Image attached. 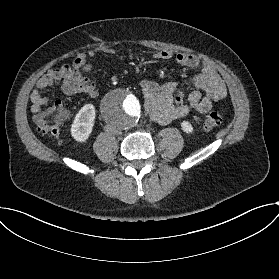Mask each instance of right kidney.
<instances>
[{
  "mask_svg": "<svg viewBox=\"0 0 279 279\" xmlns=\"http://www.w3.org/2000/svg\"><path fill=\"white\" fill-rule=\"evenodd\" d=\"M96 118V108L91 103L84 104L75 115L70 128L71 137L78 143H85L91 136Z\"/></svg>",
  "mask_w": 279,
  "mask_h": 279,
  "instance_id": "ca27d5eb",
  "label": "right kidney"
}]
</instances>
